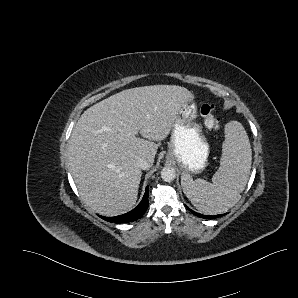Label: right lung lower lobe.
Wrapping results in <instances>:
<instances>
[{
    "instance_id": "1",
    "label": "right lung lower lobe",
    "mask_w": 298,
    "mask_h": 298,
    "mask_svg": "<svg viewBox=\"0 0 298 298\" xmlns=\"http://www.w3.org/2000/svg\"><path fill=\"white\" fill-rule=\"evenodd\" d=\"M148 206H149L148 189H146V192L143 196L142 201L132 211H130L126 214L120 215V216H116V217H104V216H100V217L106 221L115 222V223L132 222V221H135V220L141 218L144 215V213L146 212Z\"/></svg>"
}]
</instances>
